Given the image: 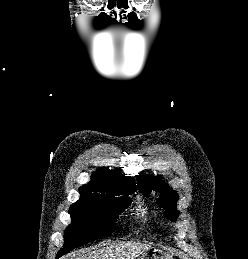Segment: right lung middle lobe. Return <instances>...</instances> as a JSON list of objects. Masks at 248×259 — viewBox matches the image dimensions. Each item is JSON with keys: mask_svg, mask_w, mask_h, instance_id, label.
Masks as SVG:
<instances>
[{"mask_svg": "<svg viewBox=\"0 0 248 259\" xmlns=\"http://www.w3.org/2000/svg\"><path fill=\"white\" fill-rule=\"evenodd\" d=\"M135 190L124 191L120 195L84 196L70 206L72 224L66 230L64 247L57 258L76 247L93 240L109 236L117 217L130 204L128 195Z\"/></svg>", "mask_w": 248, "mask_h": 259, "instance_id": "dd1d6c3e", "label": "right lung middle lobe"}]
</instances>
